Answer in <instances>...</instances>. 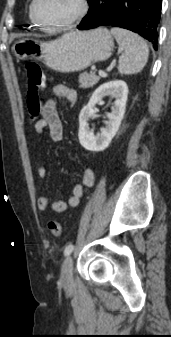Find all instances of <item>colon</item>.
I'll list each match as a JSON object with an SVG mask.
<instances>
[{
    "label": "colon",
    "mask_w": 171,
    "mask_h": 337,
    "mask_svg": "<svg viewBox=\"0 0 171 337\" xmlns=\"http://www.w3.org/2000/svg\"><path fill=\"white\" fill-rule=\"evenodd\" d=\"M27 85H28V109L33 115L39 113L40 107L44 106V101L40 100L39 94L46 85V77L41 65L36 61L26 63ZM50 233L58 237L62 233L61 223L57 220H51L48 223Z\"/></svg>",
    "instance_id": "colon-1"
}]
</instances>
